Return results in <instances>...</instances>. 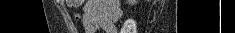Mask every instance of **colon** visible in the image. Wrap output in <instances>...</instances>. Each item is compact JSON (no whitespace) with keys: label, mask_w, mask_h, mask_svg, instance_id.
I'll return each mask as SVG.
<instances>
[{"label":"colon","mask_w":235,"mask_h":33,"mask_svg":"<svg viewBox=\"0 0 235 33\" xmlns=\"http://www.w3.org/2000/svg\"><path fill=\"white\" fill-rule=\"evenodd\" d=\"M70 6H79L83 3L82 0H68L67 1ZM135 26L133 21H128L125 23L123 27V33H134Z\"/></svg>","instance_id":"colon-1"}]
</instances>
